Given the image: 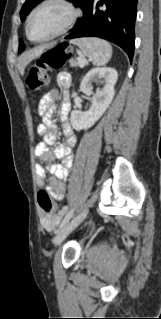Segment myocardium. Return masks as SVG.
Returning a JSON list of instances; mask_svg holds the SVG:
<instances>
[{
  "instance_id": "obj_1",
  "label": "myocardium",
  "mask_w": 161,
  "mask_h": 319,
  "mask_svg": "<svg viewBox=\"0 0 161 319\" xmlns=\"http://www.w3.org/2000/svg\"><path fill=\"white\" fill-rule=\"evenodd\" d=\"M51 4L59 5V6L63 7L67 11L66 19L64 20L63 24L59 27V29H57L51 35L44 37V38H40V39L32 38L30 35V24H31L32 18L40 9H42L43 7H45L47 5H51ZM77 17H78V9L69 0H43L29 14V17L27 19V24H26L27 37L30 41L36 42V43L46 42V41L52 40L54 38H57L60 35L64 34L73 25V23L75 22Z\"/></svg>"
}]
</instances>
